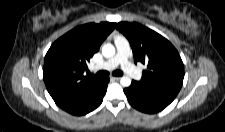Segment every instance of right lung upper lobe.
Segmentation results:
<instances>
[{
    "instance_id": "cb5924a9",
    "label": "right lung upper lobe",
    "mask_w": 225,
    "mask_h": 132,
    "mask_svg": "<svg viewBox=\"0 0 225 132\" xmlns=\"http://www.w3.org/2000/svg\"><path fill=\"white\" fill-rule=\"evenodd\" d=\"M116 23H88L78 26L56 40L48 50L43 67L47 90L59 107L84 101L101 78L84 74L87 63Z\"/></svg>"
}]
</instances>
